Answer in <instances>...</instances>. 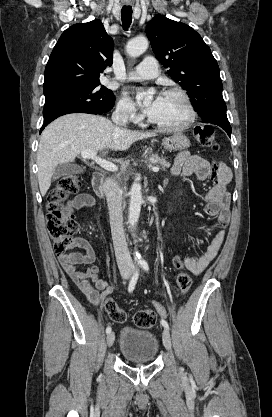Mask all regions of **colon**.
Listing matches in <instances>:
<instances>
[{
	"label": "colon",
	"instance_id": "obj_1",
	"mask_svg": "<svg viewBox=\"0 0 272 417\" xmlns=\"http://www.w3.org/2000/svg\"><path fill=\"white\" fill-rule=\"evenodd\" d=\"M195 140L206 147L213 150L218 149V143L215 139L214 130L208 125H199L194 129ZM216 174L218 165L213 166ZM81 187V182L76 175L68 174L58 180L48 193V205L46 224L48 232L55 243V251L57 254H66L70 256L68 251L73 246V236L78 230V224L73 215L65 210V200L76 193ZM174 266L179 273L177 275V286L181 293H187L192 286L191 276L184 271L183 262L179 257L174 258ZM105 310L110 319L117 323L126 320V313L120 309L117 304L108 299L105 302ZM156 311L161 315H166L165 308L157 301H154ZM134 324L139 328H151L156 322V313L150 309H142L136 312L133 317Z\"/></svg>",
	"mask_w": 272,
	"mask_h": 417
}]
</instances>
